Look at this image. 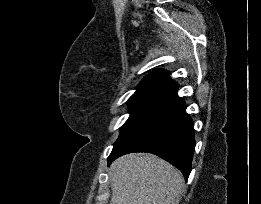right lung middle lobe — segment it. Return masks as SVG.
<instances>
[{"instance_id": "obj_1", "label": "right lung middle lobe", "mask_w": 261, "mask_h": 204, "mask_svg": "<svg viewBox=\"0 0 261 204\" xmlns=\"http://www.w3.org/2000/svg\"><path fill=\"white\" fill-rule=\"evenodd\" d=\"M168 97V95L153 93L133 94L128 100L130 117L121 127L119 138L114 145L137 127Z\"/></svg>"}]
</instances>
